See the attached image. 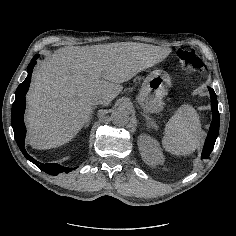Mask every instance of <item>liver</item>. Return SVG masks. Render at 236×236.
Returning a JSON list of instances; mask_svg holds the SVG:
<instances>
[{"mask_svg":"<svg viewBox=\"0 0 236 236\" xmlns=\"http://www.w3.org/2000/svg\"><path fill=\"white\" fill-rule=\"evenodd\" d=\"M170 52L135 42L56 50L32 75L26 96L28 144L45 150L69 142L90 121L94 102L109 104L123 90L121 83L146 68L145 61Z\"/></svg>","mask_w":236,"mask_h":236,"instance_id":"liver-1","label":"liver"}]
</instances>
